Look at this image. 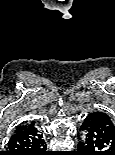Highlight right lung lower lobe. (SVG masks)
I'll return each instance as SVG.
<instances>
[{"mask_svg":"<svg viewBox=\"0 0 115 155\" xmlns=\"http://www.w3.org/2000/svg\"><path fill=\"white\" fill-rule=\"evenodd\" d=\"M40 131L33 127L29 130L14 133L8 142L5 155H50Z\"/></svg>","mask_w":115,"mask_h":155,"instance_id":"obj_1","label":"right lung lower lobe"}]
</instances>
